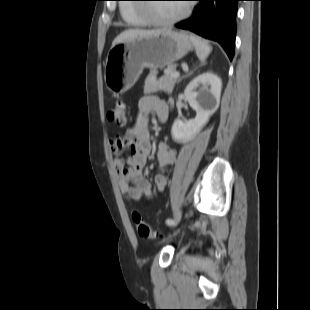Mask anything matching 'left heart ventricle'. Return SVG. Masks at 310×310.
Segmentation results:
<instances>
[{
  "label": "left heart ventricle",
  "mask_w": 310,
  "mask_h": 310,
  "mask_svg": "<svg viewBox=\"0 0 310 310\" xmlns=\"http://www.w3.org/2000/svg\"><path fill=\"white\" fill-rule=\"evenodd\" d=\"M182 11V7L174 4H159L152 8V12L156 17L171 18L178 15Z\"/></svg>",
  "instance_id": "1"
}]
</instances>
